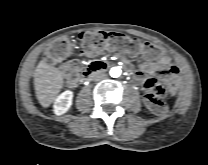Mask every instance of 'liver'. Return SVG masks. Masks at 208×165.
<instances>
[{
	"label": "liver",
	"instance_id": "liver-1",
	"mask_svg": "<svg viewBox=\"0 0 208 165\" xmlns=\"http://www.w3.org/2000/svg\"><path fill=\"white\" fill-rule=\"evenodd\" d=\"M62 72L45 60H41L34 73V88L36 97L42 107L51 105L63 88Z\"/></svg>",
	"mask_w": 208,
	"mask_h": 165
}]
</instances>
